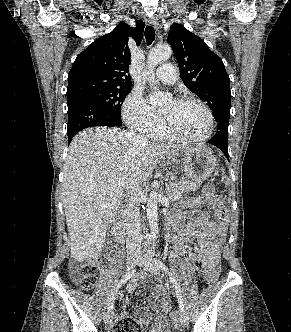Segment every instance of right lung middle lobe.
Wrapping results in <instances>:
<instances>
[{
	"label": "right lung middle lobe",
	"instance_id": "obj_1",
	"mask_svg": "<svg viewBox=\"0 0 291 332\" xmlns=\"http://www.w3.org/2000/svg\"><path fill=\"white\" fill-rule=\"evenodd\" d=\"M130 87H115L108 89H98L83 92L75 97H67V103L71 102L77 97H84L95 101L99 105L105 107L121 120L120 110L125 97L130 93Z\"/></svg>",
	"mask_w": 291,
	"mask_h": 332
}]
</instances>
